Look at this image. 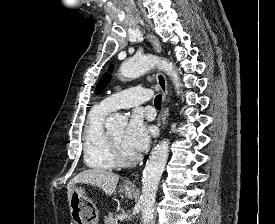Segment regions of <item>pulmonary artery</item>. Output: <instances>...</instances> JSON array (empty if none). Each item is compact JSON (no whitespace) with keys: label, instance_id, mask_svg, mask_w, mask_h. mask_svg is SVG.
Here are the masks:
<instances>
[{"label":"pulmonary artery","instance_id":"pulmonary-artery-1","mask_svg":"<svg viewBox=\"0 0 275 224\" xmlns=\"http://www.w3.org/2000/svg\"><path fill=\"white\" fill-rule=\"evenodd\" d=\"M151 98V91L143 87H131L106 97L100 106L112 112L118 108H130L144 104Z\"/></svg>","mask_w":275,"mask_h":224}]
</instances>
